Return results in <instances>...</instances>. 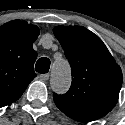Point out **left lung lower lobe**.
I'll use <instances>...</instances> for the list:
<instances>
[{
    "instance_id": "0a47b994",
    "label": "left lung lower lobe",
    "mask_w": 125,
    "mask_h": 125,
    "mask_svg": "<svg viewBox=\"0 0 125 125\" xmlns=\"http://www.w3.org/2000/svg\"><path fill=\"white\" fill-rule=\"evenodd\" d=\"M99 119V118H98ZM94 120H97V119H86V120H80L81 122H90V121H94Z\"/></svg>"
}]
</instances>
